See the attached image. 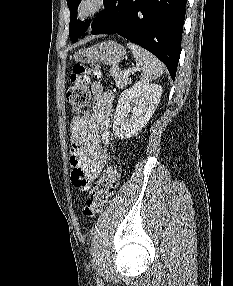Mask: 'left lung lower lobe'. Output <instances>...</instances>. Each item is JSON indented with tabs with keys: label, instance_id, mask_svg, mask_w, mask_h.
<instances>
[{
	"label": "left lung lower lobe",
	"instance_id": "left-lung-lower-lobe-1",
	"mask_svg": "<svg viewBox=\"0 0 233 286\" xmlns=\"http://www.w3.org/2000/svg\"><path fill=\"white\" fill-rule=\"evenodd\" d=\"M187 0H106L86 34H119L159 58L175 79ZM76 42V41H75Z\"/></svg>",
	"mask_w": 233,
	"mask_h": 286
}]
</instances>
